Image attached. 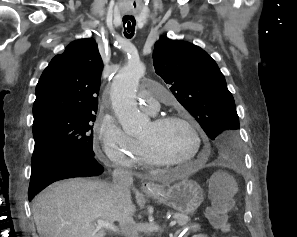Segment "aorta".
Instances as JSON below:
<instances>
[{
	"mask_svg": "<svg viewBox=\"0 0 297 237\" xmlns=\"http://www.w3.org/2000/svg\"><path fill=\"white\" fill-rule=\"evenodd\" d=\"M144 73L145 65L141 61H130L117 73L111 87L115 115L124 132L130 136L140 134L148 121L136 103V89Z\"/></svg>",
	"mask_w": 297,
	"mask_h": 237,
	"instance_id": "aorta-1",
	"label": "aorta"
}]
</instances>
